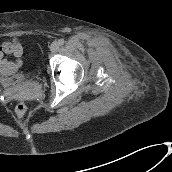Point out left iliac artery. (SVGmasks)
<instances>
[{
  "instance_id": "44dca946",
  "label": "left iliac artery",
  "mask_w": 172,
  "mask_h": 172,
  "mask_svg": "<svg viewBox=\"0 0 172 172\" xmlns=\"http://www.w3.org/2000/svg\"><path fill=\"white\" fill-rule=\"evenodd\" d=\"M58 43H59V45H63V44L65 43V41H64V39H60V40L58 41Z\"/></svg>"
}]
</instances>
